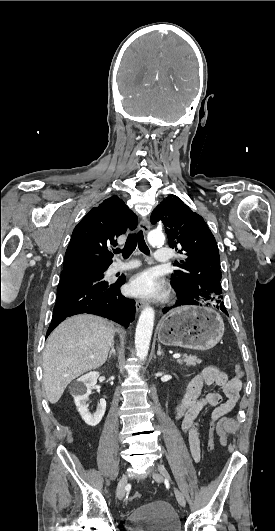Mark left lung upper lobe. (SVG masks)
<instances>
[{
  "mask_svg": "<svg viewBox=\"0 0 275 531\" xmlns=\"http://www.w3.org/2000/svg\"><path fill=\"white\" fill-rule=\"evenodd\" d=\"M162 221L168 243L185 258L171 275L177 305H209L226 311L222 302L220 256L204 219L176 195H169L152 212L151 223Z\"/></svg>",
  "mask_w": 275,
  "mask_h": 531,
  "instance_id": "1",
  "label": "left lung upper lobe"
}]
</instances>
